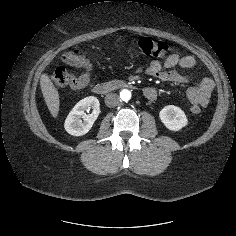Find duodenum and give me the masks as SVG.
I'll use <instances>...</instances> for the list:
<instances>
[{
	"mask_svg": "<svg viewBox=\"0 0 236 236\" xmlns=\"http://www.w3.org/2000/svg\"><path fill=\"white\" fill-rule=\"evenodd\" d=\"M131 87H132V84L127 81L109 80V81H104V82H100L93 85L92 91L98 95H105L114 90L131 88ZM144 95L148 98V97L153 96L154 92L152 90L144 89Z\"/></svg>",
	"mask_w": 236,
	"mask_h": 236,
	"instance_id": "duodenum-1",
	"label": "duodenum"
}]
</instances>
